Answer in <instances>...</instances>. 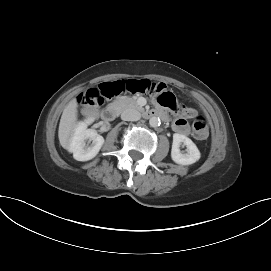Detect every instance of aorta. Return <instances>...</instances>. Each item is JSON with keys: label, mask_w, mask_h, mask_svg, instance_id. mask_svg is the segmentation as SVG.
<instances>
[{"label": "aorta", "mask_w": 271, "mask_h": 271, "mask_svg": "<svg viewBox=\"0 0 271 271\" xmlns=\"http://www.w3.org/2000/svg\"><path fill=\"white\" fill-rule=\"evenodd\" d=\"M149 124L151 127H154V128L160 126L161 122H160L159 117H155V116L151 117L149 120Z\"/></svg>", "instance_id": "obj_1"}]
</instances>
